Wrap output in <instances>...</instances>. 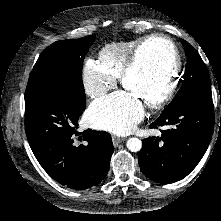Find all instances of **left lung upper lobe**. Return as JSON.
<instances>
[{"label":"left lung upper lobe","mask_w":221,"mask_h":221,"mask_svg":"<svg viewBox=\"0 0 221 221\" xmlns=\"http://www.w3.org/2000/svg\"><path fill=\"white\" fill-rule=\"evenodd\" d=\"M187 56L185 74L180 90L162 113L174 111L194 99L212 100L211 82L207 67L198 52L182 40Z\"/></svg>","instance_id":"5c2ea615"}]
</instances>
